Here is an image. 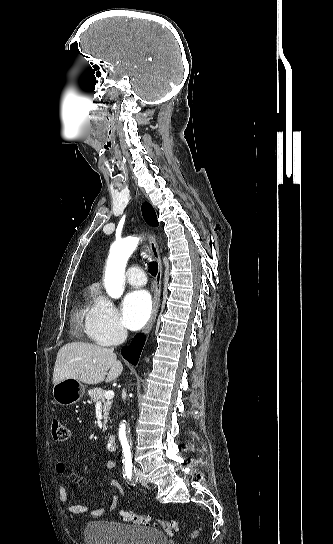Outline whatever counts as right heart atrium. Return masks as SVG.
Masks as SVG:
<instances>
[{"instance_id": "d8ad5b80", "label": "right heart atrium", "mask_w": 333, "mask_h": 544, "mask_svg": "<svg viewBox=\"0 0 333 544\" xmlns=\"http://www.w3.org/2000/svg\"><path fill=\"white\" fill-rule=\"evenodd\" d=\"M84 326L88 336L102 346L120 343L127 335L115 304L103 295L95 299Z\"/></svg>"}]
</instances>
